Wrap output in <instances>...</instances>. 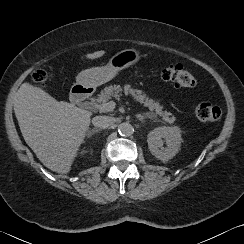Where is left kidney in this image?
<instances>
[{"instance_id":"1","label":"left kidney","mask_w":244,"mask_h":244,"mask_svg":"<svg viewBox=\"0 0 244 244\" xmlns=\"http://www.w3.org/2000/svg\"><path fill=\"white\" fill-rule=\"evenodd\" d=\"M181 129L174 127H157L147 136L148 148L157 159L166 162L172 159L179 151L183 142ZM166 144V147L163 144Z\"/></svg>"}]
</instances>
